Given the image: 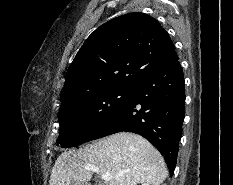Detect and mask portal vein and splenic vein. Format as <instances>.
Instances as JSON below:
<instances>
[{"instance_id":"portal-vein-and-splenic-vein-1","label":"portal vein and splenic vein","mask_w":233,"mask_h":185,"mask_svg":"<svg viewBox=\"0 0 233 185\" xmlns=\"http://www.w3.org/2000/svg\"><path fill=\"white\" fill-rule=\"evenodd\" d=\"M86 170H91L97 174L100 173V169L94 165L87 164L84 166ZM101 179L104 181H110L112 179V176L109 173L101 174Z\"/></svg>"}]
</instances>
